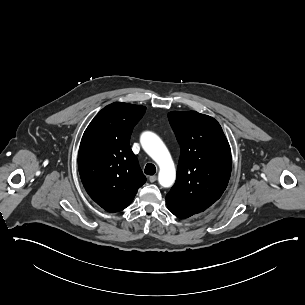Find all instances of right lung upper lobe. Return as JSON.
I'll use <instances>...</instances> for the list:
<instances>
[{"mask_svg": "<svg viewBox=\"0 0 305 305\" xmlns=\"http://www.w3.org/2000/svg\"><path fill=\"white\" fill-rule=\"evenodd\" d=\"M146 107L115 102L103 108L85 130L78 154L82 183L103 209L118 212L146 182L129 141Z\"/></svg>", "mask_w": 305, "mask_h": 305, "instance_id": "right-lung-upper-lobe-1", "label": "right lung upper lobe"}]
</instances>
